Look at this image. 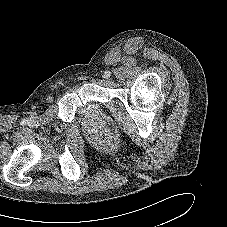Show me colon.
I'll return each instance as SVG.
<instances>
[{
	"label": "colon",
	"instance_id": "5ec220e1",
	"mask_svg": "<svg viewBox=\"0 0 227 227\" xmlns=\"http://www.w3.org/2000/svg\"><path fill=\"white\" fill-rule=\"evenodd\" d=\"M111 142V136L107 133H100L98 135V143L102 146H107Z\"/></svg>",
	"mask_w": 227,
	"mask_h": 227
}]
</instances>
